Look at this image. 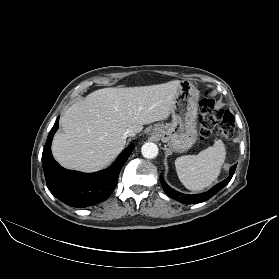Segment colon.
<instances>
[{"label":"colon","instance_id":"1","mask_svg":"<svg viewBox=\"0 0 279 279\" xmlns=\"http://www.w3.org/2000/svg\"><path fill=\"white\" fill-rule=\"evenodd\" d=\"M198 126L202 139L213 134L229 139L234 132V118L230 112L217 107L213 98L206 96L200 103Z\"/></svg>","mask_w":279,"mask_h":279}]
</instances>
